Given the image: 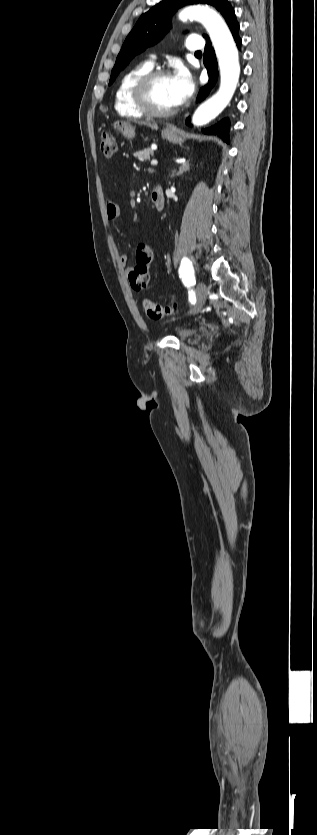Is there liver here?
<instances>
[{"label": "liver", "instance_id": "1", "mask_svg": "<svg viewBox=\"0 0 317 835\" xmlns=\"http://www.w3.org/2000/svg\"><path fill=\"white\" fill-rule=\"evenodd\" d=\"M139 124H140V125L147 126V127L151 128L152 130H158V126H157V124H155V123H154V124H151V123H148V122H144V121H143V122H139Z\"/></svg>", "mask_w": 317, "mask_h": 835}]
</instances>
